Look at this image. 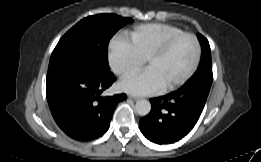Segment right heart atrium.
Wrapping results in <instances>:
<instances>
[{"instance_id": "right-heart-atrium-1", "label": "right heart atrium", "mask_w": 261, "mask_h": 162, "mask_svg": "<svg viewBox=\"0 0 261 162\" xmlns=\"http://www.w3.org/2000/svg\"><path fill=\"white\" fill-rule=\"evenodd\" d=\"M108 62L116 75L127 76L137 72L142 67L144 59L137 54L130 41L116 37L108 47Z\"/></svg>"}]
</instances>
